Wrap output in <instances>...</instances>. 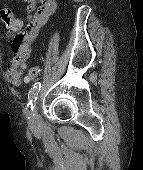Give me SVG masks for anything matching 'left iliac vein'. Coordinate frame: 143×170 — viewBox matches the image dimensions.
Wrapping results in <instances>:
<instances>
[{
    "instance_id": "4c4485c4",
    "label": "left iliac vein",
    "mask_w": 143,
    "mask_h": 170,
    "mask_svg": "<svg viewBox=\"0 0 143 170\" xmlns=\"http://www.w3.org/2000/svg\"><path fill=\"white\" fill-rule=\"evenodd\" d=\"M34 109L30 113L29 125L31 127H37L40 124V116L38 113V101L34 102Z\"/></svg>"
}]
</instances>
